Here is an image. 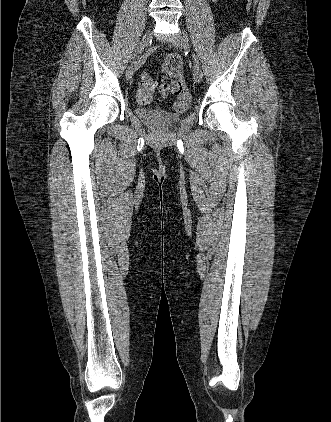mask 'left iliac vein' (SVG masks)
Wrapping results in <instances>:
<instances>
[{
    "mask_svg": "<svg viewBox=\"0 0 331 422\" xmlns=\"http://www.w3.org/2000/svg\"><path fill=\"white\" fill-rule=\"evenodd\" d=\"M172 44L175 48H184L187 49L189 47V41L187 36L184 33L179 34L172 40ZM202 71L200 67L194 66L193 68V78L195 82L200 83L202 81Z\"/></svg>",
    "mask_w": 331,
    "mask_h": 422,
    "instance_id": "obj_1",
    "label": "left iliac vein"
}]
</instances>
